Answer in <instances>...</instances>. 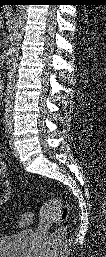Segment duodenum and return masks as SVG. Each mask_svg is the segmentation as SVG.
<instances>
[{
	"mask_svg": "<svg viewBox=\"0 0 106 257\" xmlns=\"http://www.w3.org/2000/svg\"><path fill=\"white\" fill-rule=\"evenodd\" d=\"M3 90V86H2V84L0 85V91H2Z\"/></svg>",
	"mask_w": 106,
	"mask_h": 257,
	"instance_id": "410a0bca",
	"label": "duodenum"
}]
</instances>
